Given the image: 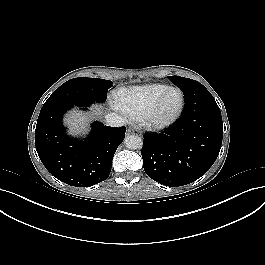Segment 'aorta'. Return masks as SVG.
<instances>
[{
    "label": "aorta",
    "instance_id": "762f6f07",
    "mask_svg": "<svg viewBox=\"0 0 265 265\" xmlns=\"http://www.w3.org/2000/svg\"><path fill=\"white\" fill-rule=\"evenodd\" d=\"M124 144L132 150L141 149L143 147V140L139 136L129 135L125 137Z\"/></svg>",
    "mask_w": 265,
    "mask_h": 265
}]
</instances>
